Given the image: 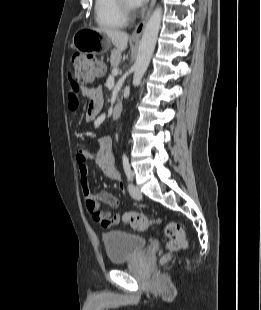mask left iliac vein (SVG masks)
I'll use <instances>...</instances> for the list:
<instances>
[{"label": "left iliac vein", "instance_id": "1", "mask_svg": "<svg viewBox=\"0 0 261 310\" xmlns=\"http://www.w3.org/2000/svg\"><path fill=\"white\" fill-rule=\"evenodd\" d=\"M128 190L130 195L132 196V198L136 199V200H140L142 198V193L140 191V189L135 186L134 184H129L128 186Z\"/></svg>", "mask_w": 261, "mask_h": 310}]
</instances>
